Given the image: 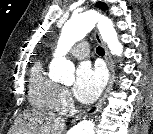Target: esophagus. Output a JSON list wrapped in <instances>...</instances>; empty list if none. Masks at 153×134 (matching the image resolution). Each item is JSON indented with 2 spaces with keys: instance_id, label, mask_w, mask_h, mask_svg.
Wrapping results in <instances>:
<instances>
[{
  "instance_id": "1",
  "label": "esophagus",
  "mask_w": 153,
  "mask_h": 134,
  "mask_svg": "<svg viewBox=\"0 0 153 134\" xmlns=\"http://www.w3.org/2000/svg\"><path fill=\"white\" fill-rule=\"evenodd\" d=\"M94 36H95L96 41L99 44H101L105 50V60H106V63H107L108 69H109V81H108L106 90H105L103 96L100 98V100L94 106L90 107L86 112L82 113L79 117L91 116V115L95 114L101 108L103 101H104V98H105L107 92L109 91L110 87L112 86L114 75H115L114 63H113V60L111 58V55H110L106 45L102 41V39L97 31H95Z\"/></svg>"
}]
</instances>
